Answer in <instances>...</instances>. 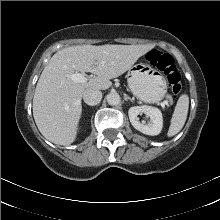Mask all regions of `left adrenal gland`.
<instances>
[{
    "label": "left adrenal gland",
    "instance_id": "a2214340",
    "mask_svg": "<svg viewBox=\"0 0 220 220\" xmlns=\"http://www.w3.org/2000/svg\"><path fill=\"white\" fill-rule=\"evenodd\" d=\"M124 100H125V101H128V100H129V101H131V102H134L135 99H134V98H130L128 95L125 94V95H124Z\"/></svg>",
    "mask_w": 220,
    "mask_h": 220
}]
</instances>
